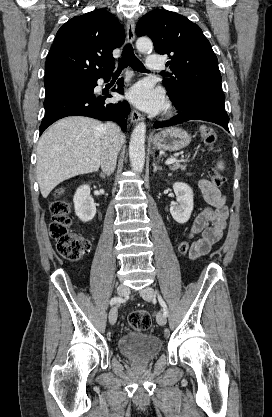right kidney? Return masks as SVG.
Wrapping results in <instances>:
<instances>
[{
  "instance_id": "obj_1",
  "label": "right kidney",
  "mask_w": 272,
  "mask_h": 417,
  "mask_svg": "<svg viewBox=\"0 0 272 417\" xmlns=\"http://www.w3.org/2000/svg\"><path fill=\"white\" fill-rule=\"evenodd\" d=\"M75 214L83 222L91 221L96 214V205L90 195V186H80L73 198Z\"/></svg>"
}]
</instances>
